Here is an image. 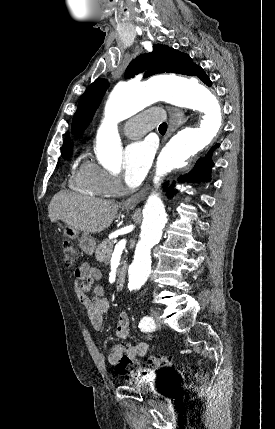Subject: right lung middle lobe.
I'll use <instances>...</instances> for the list:
<instances>
[{
    "label": "right lung middle lobe",
    "instance_id": "obj_1",
    "mask_svg": "<svg viewBox=\"0 0 275 429\" xmlns=\"http://www.w3.org/2000/svg\"><path fill=\"white\" fill-rule=\"evenodd\" d=\"M65 159H69L70 156H63Z\"/></svg>",
    "mask_w": 275,
    "mask_h": 429
}]
</instances>
